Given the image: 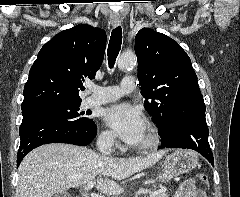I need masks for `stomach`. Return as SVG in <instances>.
Segmentation results:
<instances>
[{
    "instance_id": "stomach-1",
    "label": "stomach",
    "mask_w": 240,
    "mask_h": 197,
    "mask_svg": "<svg viewBox=\"0 0 240 197\" xmlns=\"http://www.w3.org/2000/svg\"><path fill=\"white\" fill-rule=\"evenodd\" d=\"M198 165V156L191 150H177L169 154L162 166L161 180L189 172Z\"/></svg>"
}]
</instances>
